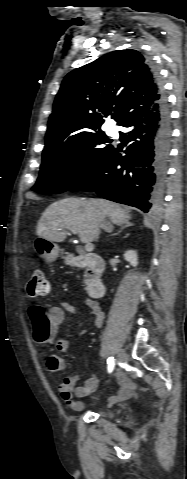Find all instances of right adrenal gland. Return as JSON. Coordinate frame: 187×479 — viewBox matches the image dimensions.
Returning <instances> with one entry per match:
<instances>
[{"instance_id":"2a0ac1e0","label":"right adrenal gland","mask_w":187,"mask_h":479,"mask_svg":"<svg viewBox=\"0 0 187 479\" xmlns=\"http://www.w3.org/2000/svg\"><path fill=\"white\" fill-rule=\"evenodd\" d=\"M131 225H132L131 223H126L124 226H121L120 229L116 233H113L110 236L119 235L121 232H123V230L125 228L130 227ZM112 228H113V226H112Z\"/></svg>"}]
</instances>
